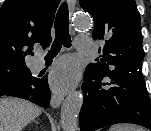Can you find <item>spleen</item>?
I'll list each match as a JSON object with an SVG mask.
<instances>
[{
	"label": "spleen",
	"mask_w": 151,
	"mask_h": 131,
	"mask_svg": "<svg viewBox=\"0 0 151 131\" xmlns=\"http://www.w3.org/2000/svg\"><path fill=\"white\" fill-rule=\"evenodd\" d=\"M109 131H143L141 128L129 125V124H118L112 126Z\"/></svg>",
	"instance_id": "spleen-1"
}]
</instances>
